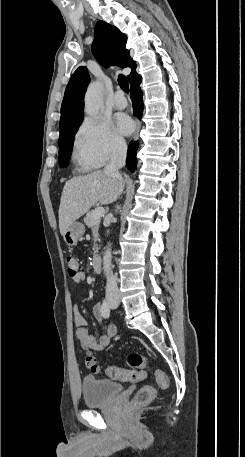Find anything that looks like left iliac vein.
I'll use <instances>...</instances> for the list:
<instances>
[{"instance_id": "left-iliac-vein-1", "label": "left iliac vein", "mask_w": 245, "mask_h": 457, "mask_svg": "<svg viewBox=\"0 0 245 457\" xmlns=\"http://www.w3.org/2000/svg\"><path fill=\"white\" fill-rule=\"evenodd\" d=\"M116 307H117V305H113V308H116Z\"/></svg>"}]
</instances>
